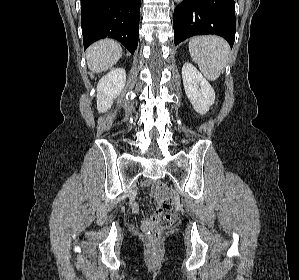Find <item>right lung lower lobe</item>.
Instances as JSON below:
<instances>
[{"label": "right lung lower lobe", "instance_id": "1", "mask_svg": "<svg viewBox=\"0 0 299 280\" xmlns=\"http://www.w3.org/2000/svg\"><path fill=\"white\" fill-rule=\"evenodd\" d=\"M140 6L141 0H81L84 47L114 38L133 54L138 45Z\"/></svg>", "mask_w": 299, "mask_h": 280}]
</instances>
